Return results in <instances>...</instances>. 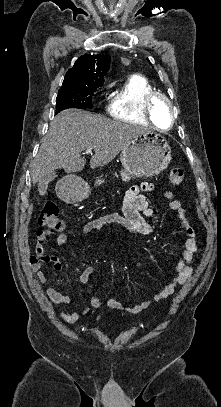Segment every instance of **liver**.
<instances>
[{"label": "liver", "instance_id": "liver-1", "mask_svg": "<svg viewBox=\"0 0 221 407\" xmlns=\"http://www.w3.org/2000/svg\"><path fill=\"white\" fill-rule=\"evenodd\" d=\"M146 128L108 119L78 109H67L56 115L42 139L32 164V183L39 182L45 174L56 169L66 173L80 172L86 159L81 152L93 149L90 159L92 169L110 163L122 149Z\"/></svg>", "mask_w": 221, "mask_h": 407}]
</instances>
